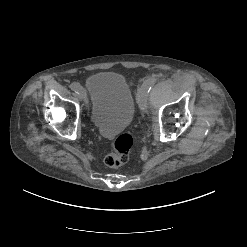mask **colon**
Returning a JSON list of instances; mask_svg holds the SVG:
<instances>
[{"mask_svg": "<svg viewBox=\"0 0 247 247\" xmlns=\"http://www.w3.org/2000/svg\"><path fill=\"white\" fill-rule=\"evenodd\" d=\"M134 145V139L131 134L123 133L113 142L111 151L105 157V164L108 167L117 168L125 164L129 158Z\"/></svg>", "mask_w": 247, "mask_h": 247, "instance_id": "5ec220e1", "label": "colon"}]
</instances>
